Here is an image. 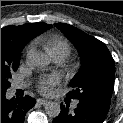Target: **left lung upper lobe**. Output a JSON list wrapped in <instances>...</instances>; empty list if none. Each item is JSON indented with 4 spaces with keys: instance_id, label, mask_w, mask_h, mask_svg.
<instances>
[{
    "instance_id": "obj_1",
    "label": "left lung upper lobe",
    "mask_w": 123,
    "mask_h": 123,
    "mask_svg": "<svg viewBox=\"0 0 123 123\" xmlns=\"http://www.w3.org/2000/svg\"><path fill=\"white\" fill-rule=\"evenodd\" d=\"M55 26L75 44L82 57L80 70L70 82L73 90L67 96L109 108L115 64L108 48L100 40L72 25L55 23Z\"/></svg>"
}]
</instances>
